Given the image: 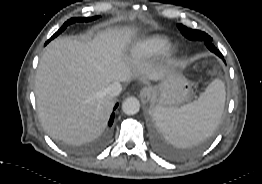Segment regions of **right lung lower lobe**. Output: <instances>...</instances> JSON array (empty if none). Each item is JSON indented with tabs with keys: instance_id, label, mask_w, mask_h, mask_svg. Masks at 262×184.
<instances>
[{
	"instance_id": "98d812e1",
	"label": "right lung lower lobe",
	"mask_w": 262,
	"mask_h": 184,
	"mask_svg": "<svg viewBox=\"0 0 262 184\" xmlns=\"http://www.w3.org/2000/svg\"><path fill=\"white\" fill-rule=\"evenodd\" d=\"M117 106L118 104L115 105L114 110L117 108ZM113 121H114V113H112L108 125L111 126L113 124Z\"/></svg>"
}]
</instances>
